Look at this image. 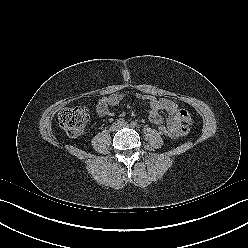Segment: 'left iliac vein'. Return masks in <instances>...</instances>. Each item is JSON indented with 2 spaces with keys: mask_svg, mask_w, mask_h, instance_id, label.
Returning <instances> with one entry per match:
<instances>
[{
  "mask_svg": "<svg viewBox=\"0 0 248 248\" xmlns=\"http://www.w3.org/2000/svg\"><path fill=\"white\" fill-rule=\"evenodd\" d=\"M120 127H129V124L128 123H123L120 125Z\"/></svg>",
  "mask_w": 248,
  "mask_h": 248,
  "instance_id": "4c4485c4",
  "label": "left iliac vein"
}]
</instances>
